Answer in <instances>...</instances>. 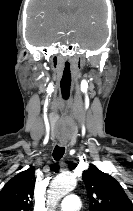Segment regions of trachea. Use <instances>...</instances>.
Listing matches in <instances>:
<instances>
[{
    "mask_svg": "<svg viewBox=\"0 0 133 211\" xmlns=\"http://www.w3.org/2000/svg\"><path fill=\"white\" fill-rule=\"evenodd\" d=\"M65 152V147L61 146H56L55 149L53 150V157L55 160H59Z\"/></svg>",
    "mask_w": 133,
    "mask_h": 211,
    "instance_id": "trachea-1",
    "label": "trachea"
}]
</instances>
